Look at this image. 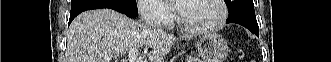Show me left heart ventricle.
Returning <instances> with one entry per match:
<instances>
[{"instance_id":"1","label":"left heart ventricle","mask_w":331,"mask_h":62,"mask_svg":"<svg viewBox=\"0 0 331 62\" xmlns=\"http://www.w3.org/2000/svg\"><path fill=\"white\" fill-rule=\"evenodd\" d=\"M184 20L194 26H209L218 21L221 9L215 0H189L179 4Z\"/></svg>"}]
</instances>
